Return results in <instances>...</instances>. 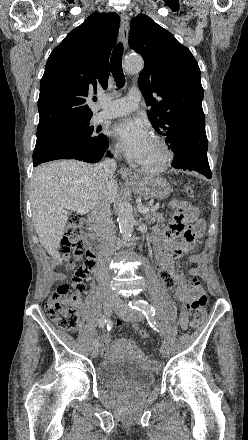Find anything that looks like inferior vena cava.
<instances>
[{
    "label": "inferior vena cava",
    "instance_id": "1",
    "mask_svg": "<svg viewBox=\"0 0 248 440\" xmlns=\"http://www.w3.org/2000/svg\"><path fill=\"white\" fill-rule=\"evenodd\" d=\"M114 158H107L94 166V174L103 179H111L116 171L117 163ZM89 222L101 239L102 249L99 256L102 278L110 277L107 263L110 261L116 244V234L111 221V209L108 202L98 204L89 215ZM117 297L116 294L112 293Z\"/></svg>",
    "mask_w": 248,
    "mask_h": 440
}]
</instances>
